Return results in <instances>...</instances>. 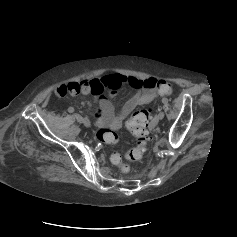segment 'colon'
Instances as JSON below:
<instances>
[{"label":"colon","mask_w":237,"mask_h":237,"mask_svg":"<svg viewBox=\"0 0 237 237\" xmlns=\"http://www.w3.org/2000/svg\"><path fill=\"white\" fill-rule=\"evenodd\" d=\"M158 91L161 95H171L173 88L171 83L161 80L157 83ZM153 120V114L149 109H142L134 112L127 122V127L135 137L136 146L125 153V159L130 161L138 160L142 157L147 148L149 141L148 127ZM97 139L104 144L113 145L118 141L117 133L108 128H101L96 133ZM110 160L115 165H119L123 170H127V166L123 164L122 156L113 152Z\"/></svg>","instance_id":"5ec220e1"}]
</instances>
